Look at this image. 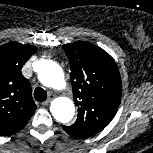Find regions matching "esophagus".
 <instances>
[{"label":"esophagus","instance_id":"34e87169","mask_svg":"<svg viewBox=\"0 0 153 153\" xmlns=\"http://www.w3.org/2000/svg\"><path fill=\"white\" fill-rule=\"evenodd\" d=\"M53 98H54V95H53V94H49L47 100L44 101L42 104H43L44 106L48 105V104L53 100Z\"/></svg>","mask_w":153,"mask_h":153}]
</instances>
